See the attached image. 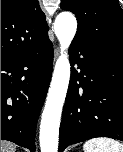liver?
Instances as JSON below:
<instances>
[{
    "mask_svg": "<svg viewBox=\"0 0 123 152\" xmlns=\"http://www.w3.org/2000/svg\"><path fill=\"white\" fill-rule=\"evenodd\" d=\"M1 152H16V145L14 143L1 140Z\"/></svg>",
    "mask_w": 123,
    "mask_h": 152,
    "instance_id": "liver-1",
    "label": "liver"
}]
</instances>
